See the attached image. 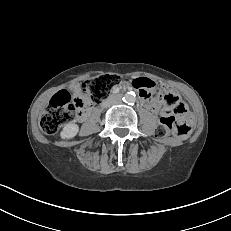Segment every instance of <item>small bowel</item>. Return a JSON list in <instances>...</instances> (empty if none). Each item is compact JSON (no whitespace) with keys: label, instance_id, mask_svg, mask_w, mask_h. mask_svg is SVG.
<instances>
[{"label":"small bowel","instance_id":"c3829d8e","mask_svg":"<svg viewBox=\"0 0 231 231\" xmlns=\"http://www.w3.org/2000/svg\"><path fill=\"white\" fill-rule=\"evenodd\" d=\"M72 90L77 96L82 95L79 84L73 85ZM165 92H166L165 94L172 96L177 102H179V96L176 93V91H174L171 88L166 87ZM143 99H144L146 106L154 113L158 114V113H168L169 112V108L167 107L163 108L162 103L159 100L150 99L149 96H143ZM83 117L84 115L82 114L81 118Z\"/></svg>","mask_w":231,"mask_h":231}]
</instances>
